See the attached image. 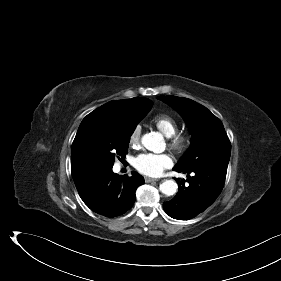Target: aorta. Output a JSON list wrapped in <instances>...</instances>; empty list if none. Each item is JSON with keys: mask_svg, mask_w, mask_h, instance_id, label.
I'll list each match as a JSON object with an SVG mask.
<instances>
[{"mask_svg": "<svg viewBox=\"0 0 281 281\" xmlns=\"http://www.w3.org/2000/svg\"><path fill=\"white\" fill-rule=\"evenodd\" d=\"M141 142L150 151H158L163 144V137L160 133L151 132L143 135ZM178 185L174 180H165L160 184V191L166 196H172L177 192Z\"/></svg>", "mask_w": 281, "mask_h": 281, "instance_id": "1", "label": "aorta"}]
</instances>
